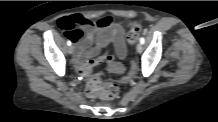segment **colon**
<instances>
[{"mask_svg": "<svg viewBox=\"0 0 218 122\" xmlns=\"http://www.w3.org/2000/svg\"><path fill=\"white\" fill-rule=\"evenodd\" d=\"M59 25L62 29L67 32L69 37L77 38L80 36V32L74 30L73 26L70 25L68 20H61ZM141 25L139 23H135L130 27V30L127 34V39L130 43H134L139 33L141 32ZM116 60V56L114 53H111L109 49H104L102 53H97L95 57H91L85 63L81 64L77 69V75L80 78H87L88 83L86 86V93L90 97H101L104 99H113L118 93L119 89L116 85L112 83H103L102 81V73H93L97 67L107 66L110 67ZM137 64L132 61L131 70H128L127 77L117 76V83L124 85H131L134 82V78L136 76Z\"/></svg>", "mask_w": 218, "mask_h": 122, "instance_id": "5ec220e1", "label": "colon"}]
</instances>
